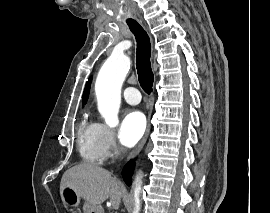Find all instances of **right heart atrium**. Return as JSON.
Wrapping results in <instances>:
<instances>
[{
  "label": "right heart atrium",
  "mask_w": 270,
  "mask_h": 213,
  "mask_svg": "<svg viewBox=\"0 0 270 213\" xmlns=\"http://www.w3.org/2000/svg\"><path fill=\"white\" fill-rule=\"evenodd\" d=\"M102 129H103L102 133L103 144L106 149L107 155L111 156L117 154L119 152V147L115 141L114 130L105 125H102Z\"/></svg>",
  "instance_id": "right-heart-atrium-1"
}]
</instances>
